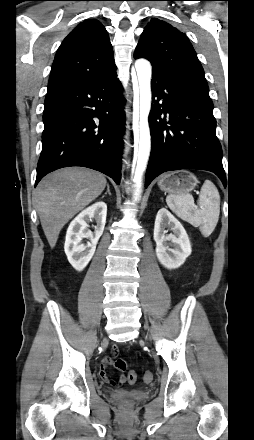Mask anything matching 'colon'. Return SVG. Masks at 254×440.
I'll list each match as a JSON object with an SVG mask.
<instances>
[{
	"label": "colon",
	"instance_id": "1",
	"mask_svg": "<svg viewBox=\"0 0 254 440\" xmlns=\"http://www.w3.org/2000/svg\"><path fill=\"white\" fill-rule=\"evenodd\" d=\"M114 367L119 371H125L127 368V363L124 359H116L114 361ZM153 379V374L150 371H146L143 375V381L145 383H150ZM137 380V374L135 371H130L127 375V381L131 384L135 383ZM126 381L125 378L119 380V384H123Z\"/></svg>",
	"mask_w": 254,
	"mask_h": 440
}]
</instances>
